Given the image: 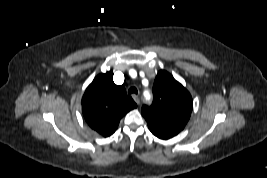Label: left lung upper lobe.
<instances>
[{
	"instance_id": "left-lung-upper-lobe-1",
	"label": "left lung upper lobe",
	"mask_w": 267,
	"mask_h": 178,
	"mask_svg": "<svg viewBox=\"0 0 267 178\" xmlns=\"http://www.w3.org/2000/svg\"><path fill=\"white\" fill-rule=\"evenodd\" d=\"M151 106L142 107L150 131L160 139H170L182 131L193 107L190 93L174 77L159 71L153 85Z\"/></svg>"
}]
</instances>
